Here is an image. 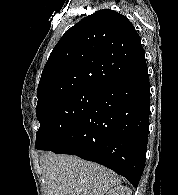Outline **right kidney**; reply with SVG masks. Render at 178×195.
Masks as SVG:
<instances>
[{"label":"right kidney","mask_w":178,"mask_h":195,"mask_svg":"<svg viewBox=\"0 0 178 195\" xmlns=\"http://www.w3.org/2000/svg\"><path fill=\"white\" fill-rule=\"evenodd\" d=\"M106 195H131L130 188L126 186H116L111 188Z\"/></svg>","instance_id":"ca27d5eb"}]
</instances>
